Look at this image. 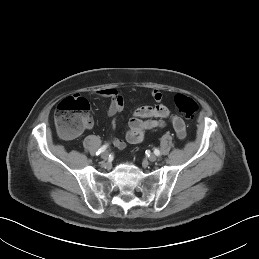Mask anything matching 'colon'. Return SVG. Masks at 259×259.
<instances>
[{"label": "colon", "instance_id": "5ec220e1", "mask_svg": "<svg viewBox=\"0 0 259 259\" xmlns=\"http://www.w3.org/2000/svg\"><path fill=\"white\" fill-rule=\"evenodd\" d=\"M174 103L178 111L192 119L197 110V103L189 96L177 94ZM91 110L88 101L79 96H70L62 100L55 111V126L67 139L77 137L90 123Z\"/></svg>", "mask_w": 259, "mask_h": 259}]
</instances>
